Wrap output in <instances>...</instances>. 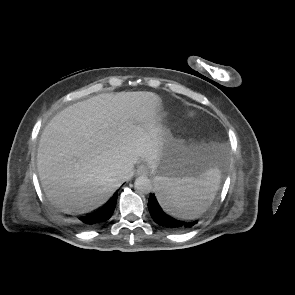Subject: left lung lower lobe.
Segmentation results:
<instances>
[{
    "label": "left lung lower lobe",
    "mask_w": 295,
    "mask_h": 295,
    "mask_svg": "<svg viewBox=\"0 0 295 295\" xmlns=\"http://www.w3.org/2000/svg\"><path fill=\"white\" fill-rule=\"evenodd\" d=\"M149 212L153 220L159 225L172 230L183 231L192 228L197 221H186L167 212L159 203L158 198L151 194L148 202Z\"/></svg>",
    "instance_id": "left-lung-lower-lobe-1"
}]
</instances>
